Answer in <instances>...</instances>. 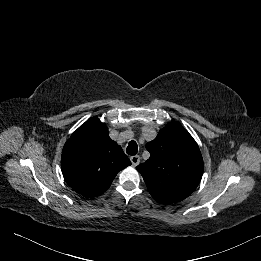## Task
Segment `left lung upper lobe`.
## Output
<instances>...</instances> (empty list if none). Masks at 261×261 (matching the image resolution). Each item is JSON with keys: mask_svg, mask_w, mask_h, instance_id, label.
Returning a JSON list of instances; mask_svg holds the SVG:
<instances>
[{"mask_svg": "<svg viewBox=\"0 0 261 261\" xmlns=\"http://www.w3.org/2000/svg\"><path fill=\"white\" fill-rule=\"evenodd\" d=\"M150 158L137 166L151 195L187 198L200 183L204 164L189 132L171 122L146 144Z\"/></svg>", "mask_w": 261, "mask_h": 261, "instance_id": "obj_1", "label": "left lung upper lobe"}]
</instances>
